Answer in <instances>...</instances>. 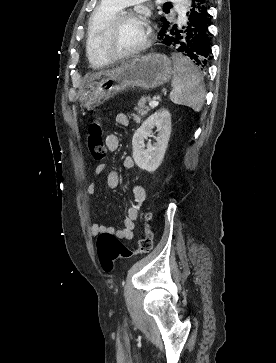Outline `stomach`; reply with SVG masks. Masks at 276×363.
Here are the masks:
<instances>
[{
	"label": "stomach",
	"mask_w": 276,
	"mask_h": 363,
	"mask_svg": "<svg viewBox=\"0 0 276 363\" xmlns=\"http://www.w3.org/2000/svg\"><path fill=\"white\" fill-rule=\"evenodd\" d=\"M173 71L171 60L164 54L134 57L91 81L79 101L83 107L94 109L129 87L156 89L170 80Z\"/></svg>",
	"instance_id": "obj_1"
}]
</instances>
